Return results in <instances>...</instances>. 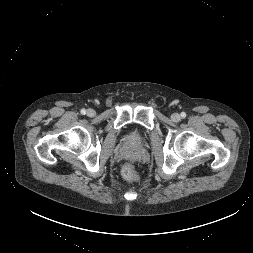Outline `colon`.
I'll use <instances>...</instances> for the list:
<instances>
[{"instance_id": "obj_1", "label": "colon", "mask_w": 253, "mask_h": 253, "mask_svg": "<svg viewBox=\"0 0 253 253\" xmlns=\"http://www.w3.org/2000/svg\"><path fill=\"white\" fill-rule=\"evenodd\" d=\"M122 175L124 176V178L131 181L138 180L139 178L134 166L131 163H127L124 165L122 169Z\"/></svg>"}]
</instances>
